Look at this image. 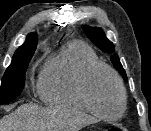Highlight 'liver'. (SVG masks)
<instances>
[{
  "mask_svg": "<svg viewBox=\"0 0 151 131\" xmlns=\"http://www.w3.org/2000/svg\"><path fill=\"white\" fill-rule=\"evenodd\" d=\"M95 119L69 107L22 104L0 120V131H79Z\"/></svg>",
  "mask_w": 151,
  "mask_h": 131,
  "instance_id": "1",
  "label": "liver"
}]
</instances>
